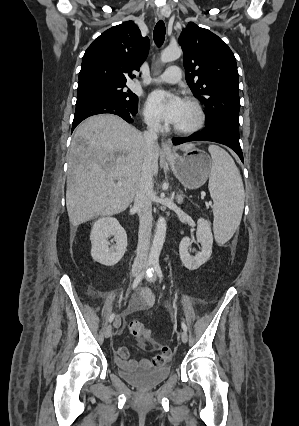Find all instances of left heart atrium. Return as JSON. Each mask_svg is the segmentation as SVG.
Returning <instances> with one entry per match:
<instances>
[{
	"label": "left heart atrium",
	"instance_id": "1",
	"mask_svg": "<svg viewBox=\"0 0 299 426\" xmlns=\"http://www.w3.org/2000/svg\"><path fill=\"white\" fill-rule=\"evenodd\" d=\"M148 106L155 117L176 124L181 116L184 101L179 96L156 90L149 96Z\"/></svg>",
	"mask_w": 299,
	"mask_h": 426
}]
</instances>
